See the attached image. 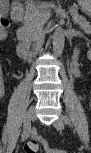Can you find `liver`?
<instances>
[{"mask_svg": "<svg viewBox=\"0 0 91 153\" xmlns=\"http://www.w3.org/2000/svg\"><path fill=\"white\" fill-rule=\"evenodd\" d=\"M3 3L7 4V3H8V1H7V0H4V1H3Z\"/></svg>", "mask_w": 91, "mask_h": 153, "instance_id": "liver-1", "label": "liver"}]
</instances>
